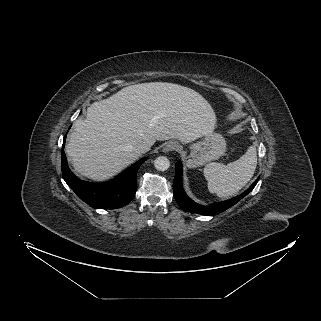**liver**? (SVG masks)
Segmentation results:
<instances>
[{
	"label": "liver",
	"instance_id": "liver-1",
	"mask_svg": "<svg viewBox=\"0 0 321 321\" xmlns=\"http://www.w3.org/2000/svg\"><path fill=\"white\" fill-rule=\"evenodd\" d=\"M216 126L208 101L195 90L167 82L135 84L87 108L66 146L75 170L103 181L136 161L135 147L156 140L189 143Z\"/></svg>",
	"mask_w": 321,
	"mask_h": 321
}]
</instances>
